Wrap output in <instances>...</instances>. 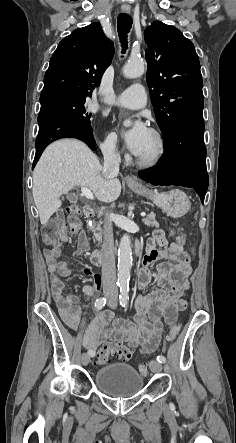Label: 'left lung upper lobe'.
Listing matches in <instances>:
<instances>
[{
  "mask_svg": "<svg viewBox=\"0 0 236 443\" xmlns=\"http://www.w3.org/2000/svg\"><path fill=\"white\" fill-rule=\"evenodd\" d=\"M147 84L163 136L179 119L202 116L200 63L193 43L174 26L155 21L144 31Z\"/></svg>",
  "mask_w": 236,
  "mask_h": 443,
  "instance_id": "left-lung-upper-lobe-1",
  "label": "left lung upper lobe"
}]
</instances>
